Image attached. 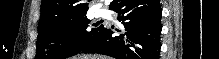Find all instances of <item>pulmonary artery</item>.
<instances>
[{
	"mask_svg": "<svg viewBox=\"0 0 219 59\" xmlns=\"http://www.w3.org/2000/svg\"><path fill=\"white\" fill-rule=\"evenodd\" d=\"M98 14H99V15H102V14H103V11H102V10H99V11H98Z\"/></svg>",
	"mask_w": 219,
	"mask_h": 59,
	"instance_id": "pulmonary-artery-1",
	"label": "pulmonary artery"
}]
</instances>
